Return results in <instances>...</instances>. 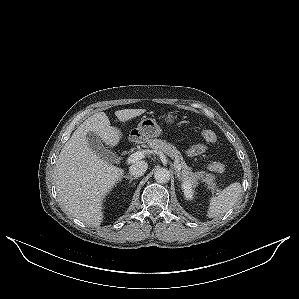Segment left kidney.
<instances>
[{"label":"left kidney","instance_id":"1","mask_svg":"<svg viewBox=\"0 0 299 299\" xmlns=\"http://www.w3.org/2000/svg\"><path fill=\"white\" fill-rule=\"evenodd\" d=\"M184 196L187 200H192L194 195V187L195 185L190 180H183L181 185Z\"/></svg>","mask_w":299,"mask_h":299}]
</instances>
